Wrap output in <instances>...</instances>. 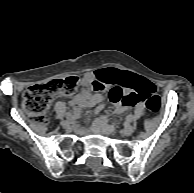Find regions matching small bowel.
Instances as JSON below:
<instances>
[{
	"label": "small bowel",
	"mask_w": 194,
	"mask_h": 193,
	"mask_svg": "<svg viewBox=\"0 0 194 193\" xmlns=\"http://www.w3.org/2000/svg\"><path fill=\"white\" fill-rule=\"evenodd\" d=\"M121 75V71L116 68H105L97 71H91L84 74L80 83V92L69 100V104L75 112H79L82 108L96 107V113L99 112L105 101L102 93L98 92L100 86L106 79H117ZM152 86L144 79L137 78V84L134 87H127V90L137 92L145 96ZM130 106L127 104L117 105L113 114H122L128 112ZM111 115L98 116L94 120L97 127H101L103 131L110 134L114 131V127L108 124Z\"/></svg>",
	"instance_id": "1"
}]
</instances>
